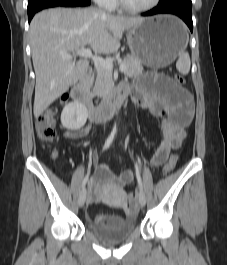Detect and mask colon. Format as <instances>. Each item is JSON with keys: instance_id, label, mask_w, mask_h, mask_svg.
Listing matches in <instances>:
<instances>
[{"instance_id": "1", "label": "colon", "mask_w": 227, "mask_h": 265, "mask_svg": "<svg viewBox=\"0 0 227 265\" xmlns=\"http://www.w3.org/2000/svg\"><path fill=\"white\" fill-rule=\"evenodd\" d=\"M174 81L178 85H183L185 83V79L182 75L176 74L174 76ZM67 97H62L61 102L66 101ZM55 116H56V108L51 107L43 111L37 116L36 119V132L40 141L45 143H50L54 140L56 136L55 131ZM178 160V155L173 154L166 164L163 167V174H169L175 167ZM128 200L131 206H135L136 204V196L134 194H129Z\"/></svg>"}]
</instances>
